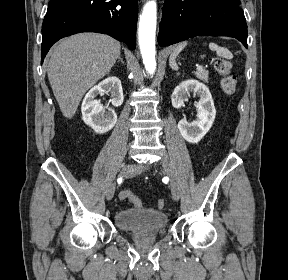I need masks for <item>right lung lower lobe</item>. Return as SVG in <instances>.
Returning <instances> with one entry per match:
<instances>
[{"label": "right lung lower lobe", "instance_id": "right-lung-lower-lobe-1", "mask_svg": "<svg viewBox=\"0 0 288 280\" xmlns=\"http://www.w3.org/2000/svg\"><path fill=\"white\" fill-rule=\"evenodd\" d=\"M138 0H51L42 25L41 64L59 39L98 32L135 49Z\"/></svg>", "mask_w": 288, "mask_h": 280}]
</instances>
